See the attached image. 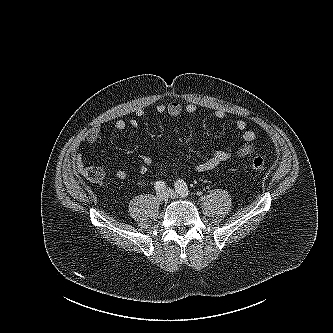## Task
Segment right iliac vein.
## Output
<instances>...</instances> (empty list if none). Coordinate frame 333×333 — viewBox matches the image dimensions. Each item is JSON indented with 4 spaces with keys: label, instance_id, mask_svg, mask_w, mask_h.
Here are the masks:
<instances>
[{
    "label": "right iliac vein",
    "instance_id": "right-iliac-vein-1",
    "mask_svg": "<svg viewBox=\"0 0 333 333\" xmlns=\"http://www.w3.org/2000/svg\"><path fill=\"white\" fill-rule=\"evenodd\" d=\"M157 196H158V198H159L160 200H162V201H167V199L169 198L167 192L164 191V190L159 191V192L157 193Z\"/></svg>",
    "mask_w": 333,
    "mask_h": 333
}]
</instances>
